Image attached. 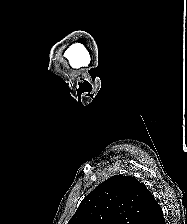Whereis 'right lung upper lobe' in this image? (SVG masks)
<instances>
[{
  "mask_svg": "<svg viewBox=\"0 0 187 224\" xmlns=\"http://www.w3.org/2000/svg\"><path fill=\"white\" fill-rule=\"evenodd\" d=\"M150 191L134 177L115 175L80 203L68 224H164Z\"/></svg>",
  "mask_w": 187,
  "mask_h": 224,
  "instance_id": "cb5924a9",
  "label": "right lung upper lobe"
}]
</instances>
